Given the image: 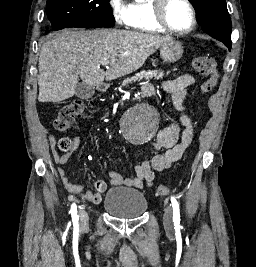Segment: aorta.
I'll return each mask as SVG.
<instances>
[{
	"mask_svg": "<svg viewBox=\"0 0 256 267\" xmlns=\"http://www.w3.org/2000/svg\"><path fill=\"white\" fill-rule=\"evenodd\" d=\"M157 108L140 101L138 108H130L129 117H121L123 127H157ZM124 138L128 143H149V138H156L158 128H123Z\"/></svg>",
	"mask_w": 256,
	"mask_h": 267,
	"instance_id": "762f6f07",
	"label": "aorta"
}]
</instances>
